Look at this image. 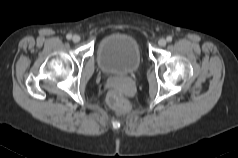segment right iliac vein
Wrapping results in <instances>:
<instances>
[{
	"label": "right iliac vein",
	"mask_w": 238,
	"mask_h": 158,
	"mask_svg": "<svg viewBox=\"0 0 238 158\" xmlns=\"http://www.w3.org/2000/svg\"><path fill=\"white\" fill-rule=\"evenodd\" d=\"M72 41L75 42V43H78L80 41V36L79 35H74L72 37Z\"/></svg>",
	"instance_id": "right-iliac-vein-1"
}]
</instances>
